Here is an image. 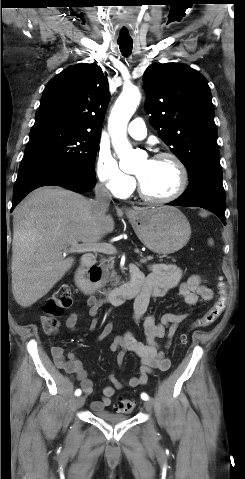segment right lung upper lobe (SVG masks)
<instances>
[{
	"mask_svg": "<svg viewBox=\"0 0 245 479\" xmlns=\"http://www.w3.org/2000/svg\"><path fill=\"white\" fill-rule=\"evenodd\" d=\"M108 100V82L99 66H71L46 85L33 127L61 126L100 135Z\"/></svg>",
	"mask_w": 245,
	"mask_h": 479,
	"instance_id": "1",
	"label": "right lung upper lobe"
}]
</instances>
